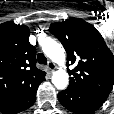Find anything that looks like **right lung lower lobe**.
I'll return each instance as SVG.
<instances>
[{
	"mask_svg": "<svg viewBox=\"0 0 114 114\" xmlns=\"http://www.w3.org/2000/svg\"><path fill=\"white\" fill-rule=\"evenodd\" d=\"M38 85L34 87L18 92L9 98L0 102V112L3 114H17L35 103L36 91Z\"/></svg>",
	"mask_w": 114,
	"mask_h": 114,
	"instance_id": "1",
	"label": "right lung lower lobe"
}]
</instances>
